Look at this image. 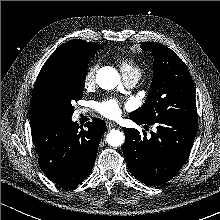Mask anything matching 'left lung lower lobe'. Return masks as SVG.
Segmentation results:
<instances>
[{
	"mask_svg": "<svg viewBox=\"0 0 220 220\" xmlns=\"http://www.w3.org/2000/svg\"><path fill=\"white\" fill-rule=\"evenodd\" d=\"M138 125H150L137 118ZM157 131L146 137L136 129L124 128L125 159L131 174L150 186L171 180L185 164L197 133L198 120L170 115L153 123ZM151 124V125H153Z\"/></svg>",
	"mask_w": 220,
	"mask_h": 220,
	"instance_id": "left-lung-lower-lobe-1",
	"label": "left lung lower lobe"
}]
</instances>
